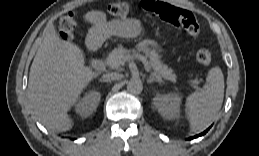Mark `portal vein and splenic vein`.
<instances>
[{
  "instance_id": "portal-vein-and-splenic-vein-1",
  "label": "portal vein and splenic vein",
  "mask_w": 259,
  "mask_h": 156,
  "mask_svg": "<svg viewBox=\"0 0 259 156\" xmlns=\"http://www.w3.org/2000/svg\"><path fill=\"white\" fill-rule=\"evenodd\" d=\"M135 59L141 60L142 63L144 64L145 69H146L147 71H150V70H151V67H150V65L148 64L147 59H146L144 56H136ZM191 82H192L193 84H198V82H196V81H194V80L191 81Z\"/></svg>"
}]
</instances>
